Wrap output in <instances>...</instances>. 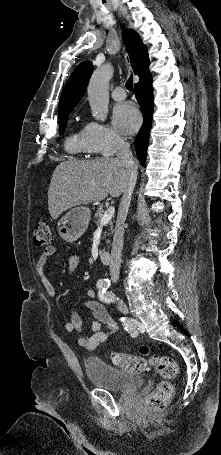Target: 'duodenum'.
<instances>
[{"label": "duodenum", "instance_id": "1", "mask_svg": "<svg viewBox=\"0 0 221 455\" xmlns=\"http://www.w3.org/2000/svg\"><path fill=\"white\" fill-rule=\"evenodd\" d=\"M100 259L104 264H110L112 261V254L109 250L103 249L100 251Z\"/></svg>", "mask_w": 221, "mask_h": 455}]
</instances>
